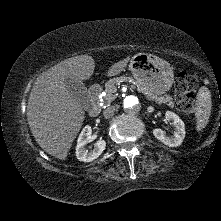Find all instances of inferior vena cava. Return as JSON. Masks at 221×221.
<instances>
[{"mask_svg":"<svg viewBox=\"0 0 221 221\" xmlns=\"http://www.w3.org/2000/svg\"><path fill=\"white\" fill-rule=\"evenodd\" d=\"M115 106H110V107H107L104 111H103V115L106 119H109L111 118L113 115H114V112H115Z\"/></svg>","mask_w":221,"mask_h":221,"instance_id":"obj_1","label":"inferior vena cava"}]
</instances>
